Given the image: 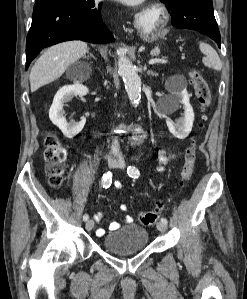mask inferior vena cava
Listing matches in <instances>:
<instances>
[{"mask_svg":"<svg viewBox=\"0 0 247 299\" xmlns=\"http://www.w3.org/2000/svg\"><path fill=\"white\" fill-rule=\"evenodd\" d=\"M111 152L114 154L119 152V143H118L117 138L113 139L112 146H111Z\"/></svg>","mask_w":247,"mask_h":299,"instance_id":"1","label":"inferior vena cava"}]
</instances>
